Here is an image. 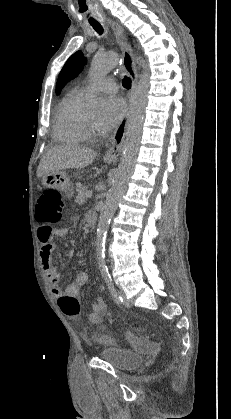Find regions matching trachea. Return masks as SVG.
<instances>
[{
	"mask_svg": "<svg viewBox=\"0 0 231 419\" xmlns=\"http://www.w3.org/2000/svg\"><path fill=\"white\" fill-rule=\"evenodd\" d=\"M91 25L94 28V30L96 32H98L99 34H101L103 32V28L98 22H93V23H91ZM123 86L127 89H129L131 87V80H130L129 77H127V76L124 77Z\"/></svg>",
	"mask_w": 231,
	"mask_h": 419,
	"instance_id": "1",
	"label": "trachea"
}]
</instances>
